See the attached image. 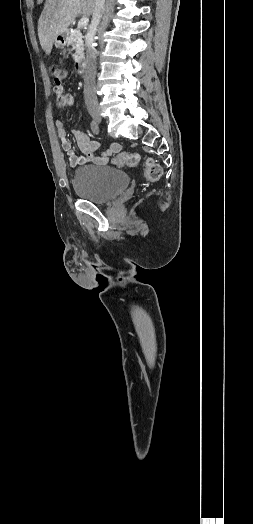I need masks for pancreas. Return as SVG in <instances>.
<instances>
[{
  "instance_id": "cf45deb5",
  "label": "pancreas",
  "mask_w": 253,
  "mask_h": 524,
  "mask_svg": "<svg viewBox=\"0 0 253 524\" xmlns=\"http://www.w3.org/2000/svg\"><path fill=\"white\" fill-rule=\"evenodd\" d=\"M67 43L72 46L73 49L76 50V59H82L84 56V43H83V35L80 32L79 29L74 30H67Z\"/></svg>"
}]
</instances>
